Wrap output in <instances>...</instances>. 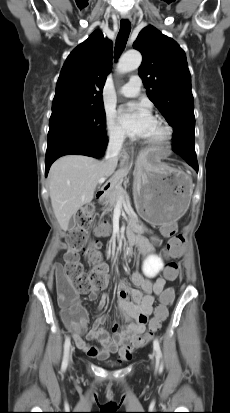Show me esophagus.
<instances>
[{"label":"esophagus","instance_id":"esophagus-1","mask_svg":"<svg viewBox=\"0 0 230 413\" xmlns=\"http://www.w3.org/2000/svg\"><path fill=\"white\" fill-rule=\"evenodd\" d=\"M122 18L126 20H131V15L129 13L122 14Z\"/></svg>","mask_w":230,"mask_h":413}]
</instances>
